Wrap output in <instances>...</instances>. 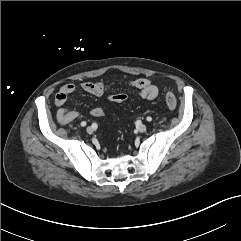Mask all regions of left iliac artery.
Listing matches in <instances>:
<instances>
[{"mask_svg":"<svg viewBox=\"0 0 241 241\" xmlns=\"http://www.w3.org/2000/svg\"><path fill=\"white\" fill-rule=\"evenodd\" d=\"M146 120H147L148 122H151V121H152V118H151L150 116H148V117L146 118Z\"/></svg>","mask_w":241,"mask_h":241,"instance_id":"obj_1","label":"left iliac artery"}]
</instances>
